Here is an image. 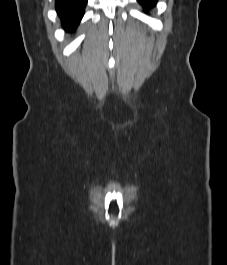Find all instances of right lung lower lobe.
<instances>
[{"label": "right lung lower lobe", "instance_id": "right-lung-lower-lobe-1", "mask_svg": "<svg viewBox=\"0 0 227 265\" xmlns=\"http://www.w3.org/2000/svg\"><path fill=\"white\" fill-rule=\"evenodd\" d=\"M87 0H56L55 8L61 18L62 26L67 31H73L84 14Z\"/></svg>", "mask_w": 227, "mask_h": 265}]
</instances>
